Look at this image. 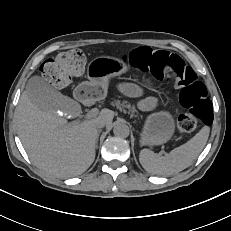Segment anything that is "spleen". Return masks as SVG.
I'll return each mask as SVG.
<instances>
[{
	"instance_id": "3e777b00",
	"label": "spleen",
	"mask_w": 231,
	"mask_h": 231,
	"mask_svg": "<svg viewBox=\"0 0 231 231\" xmlns=\"http://www.w3.org/2000/svg\"><path fill=\"white\" fill-rule=\"evenodd\" d=\"M210 129L204 126L187 143L173 149L169 154L160 156L149 149H143L139 155L142 167L150 174L169 176L187 167L198 157L209 137Z\"/></svg>"
}]
</instances>
